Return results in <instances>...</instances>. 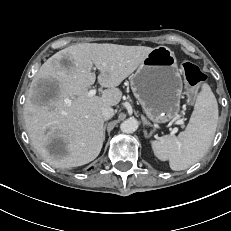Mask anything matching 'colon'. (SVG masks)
Here are the masks:
<instances>
[{"mask_svg":"<svg viewBox=\"0 0 231 231\" xmlns=\"http://www.w3.org/2000/svg\"><path fill=\"white\" fill-rule=\"evenodd\" d=\"M181 68L184 73L185 80L191 88L190 93L192 94L205 81V76L196 65L189 61H183Z\"/></svg>","mask_w":231,"mask_h":231,"instance_id":"5ec220e1","label":"colon"}]
</instances>
